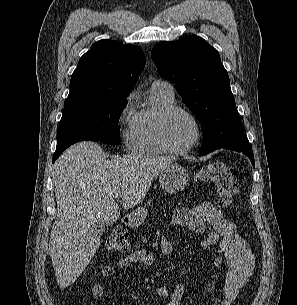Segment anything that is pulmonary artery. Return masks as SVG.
Listing matches in <instances>:
<instances>
[{
  "mask_svg": "<svg viewBox=\"0 0 297 305\" xmlns=\"http://www.w3.org/2000/svg\"><path fill=\"white\" fill-rule=\"evenodd\" d=\"M151 88L160 89V90L164 91L165 93H167L168 95L174 96V88H173L172 84L169 83L168 81L155 80L152 83Z\"/></svg>",
  "mask_w": 297,
  "mask_h": 305,
  "instance_id": "pulmonary-artery-1",
  "label": "pulmonary artery"
}]
</instances>
